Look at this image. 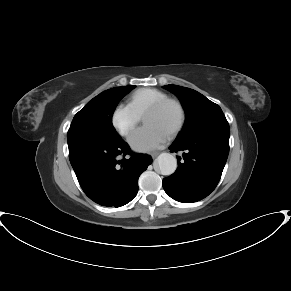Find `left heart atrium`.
I'll return each mask as SVG.
<instances>
[{
	"mask_svg": "<svg viewBox=\"0 0 291 291\" xmlns=\"http://www.w3.org/2000/svg\"><path fill=\"white\" fill-rule=\"evenodd\" d=\"M168 140L169 133L151 124H145L130 136L129 143L134 150L147 152L161 148Z\"/></svg>",
	"mask_w": 291,
	"mask_h": 291,
	"instance_id": "39dd6f15",
	"label": "left heart atrium"
}]
</instances>
